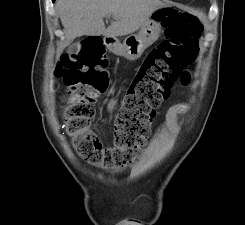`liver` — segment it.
<instances>
[{
  "label": "liver",
  "mask_w": 245,
  "mask_h": 225,
  "mask_svg": "<svg viewBox=\"0 0 245 225\" xmlns=\"http://www.w3.org/2000/svg\"><path fill=\"white\" fill-rule=\"evenodd\" d=\"M164 6L161 0H57L55 8L64 27L65 47L83 35L132 34ZM110 16L115 21L105 28L103 19Z\"/></svg>",
  "instance_id": "6515ba94"
}]
</instances>
